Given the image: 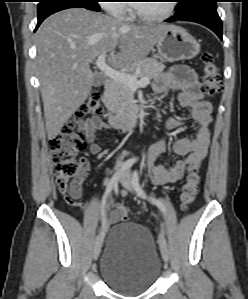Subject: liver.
Instances as JSON below:
<instances>
[{"label":"liver","instance_id":"6515ba94","mask_svg":"<svg viewBox=\"0 0 248 299\" xmlns=\"http://www.w3.org/2000/svg\"><path fill=\"white\" fill-rule=\"evenodd\" d=\"M168 26H137L84 8L48 17L36 33V66L48 140L83 105L91 92L90 63L102 53L115 68L143 60Z\"/></svg>","mask_w":248,"mask_h":299}]
</instances>
